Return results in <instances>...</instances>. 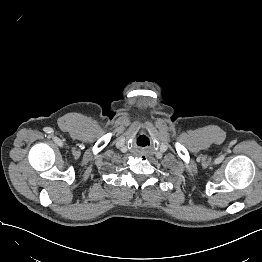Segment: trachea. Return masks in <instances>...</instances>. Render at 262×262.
Here are the masks:
<instances>
[{
    "mask_svg": "<svg viewBox=\"0 0 262 262\" xmlns=\"http://www.w3.org/2000/svg\"><path fill=\"white\" fill-rule=\"evenodd\" d=\"M137 144L139 146H146V145H149V138L145 135H140L138 138H137Z\"/></svg>",
    "mask_w": 262,
    "mask_h": 262,
    "instance_id": "trachea-1",
    "label": "trachea"
}]
</instances>
